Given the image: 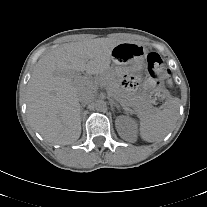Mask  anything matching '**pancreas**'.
<instances>
[{"mask_svg": "<svg viewBox=\"0 0 207 207\" xmlns=\"http://www.w3.org/2000/svg\"><path fill=\"white\" fill-rule=\"evenodd\" d=\"M99 85L105 86L107 91L114 96H117L119 94L120 90L118 88V84L112 77L106 76L102 78L99 81ZM121 103L127 107L133 108L136 114L140 117H148L155 111L149 101L143 100L141 98H136L135 101L131 103L125 104L123 101H121Z\"/></svg>", "mask_w": 207, "mask_h": 207, "instance_id": "obj_1", "label": "pancreas"}]
</instances>
